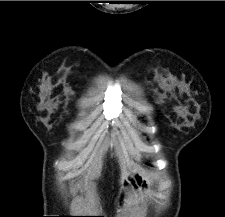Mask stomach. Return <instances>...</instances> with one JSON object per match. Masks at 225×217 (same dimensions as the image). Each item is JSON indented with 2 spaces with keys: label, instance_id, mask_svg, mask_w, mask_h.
Returning a JSON list of instances; mask_svg holds the SVG:
<instances>
[{
  "label": "stomach",
  "instance_id": "0dacf381",
  "mask_svg": "<svg viewBox=\"0 0 225 217\" xmlns=\"http://www.w3.org/2000/svg\"><path fill=\"white\" fill-rule=\"evenodd\" d=\"M126 184L129 186H139V185H144L147 184V180L144 178V176L138 172H133L129 174L126 179Z\"/></svg>",
  "mask_w": 225,
  "mask_h": 217
}]
</instances>
